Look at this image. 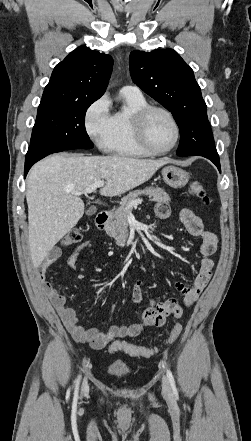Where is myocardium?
<instances>
[{"instance_id":"1","label":"myocardium","mask_w":251,"mask_h":441,"mask_svg":"<svg viewBox=\"0 0 251 441\" xmlns=\"http://www.w3.org/2000/svg\"><path fill=\"white\" fill-rule=\"evenodd\" d=\"M153 112L164 113L170 119V121L174 127L175 138H174L172 145L170 147H168L167 149L158 150V149L154 148L148 140L146 125H147L148 118L150 117V115ZM133 125H134L135 136H136L138 143L145 151H147L148 153H150L152 155L167 154V153L171 152L179 143L180 136H181L179 124H178L177 119L175 118L174 114L165 107L148 105V106L142 108L141 110H139L136 113V115L134 117Z\"/></svg>"}]
</instances>
